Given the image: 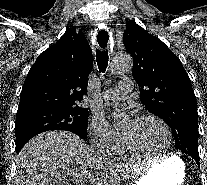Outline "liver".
Here are the masks:
<instances>
[{"instance_id":"1","label":"liver","mask_w":207,"mask_h":185,"mask_svg":"<svg viewBox=\"0 0 207 185\" xmlns=\"http://www.w3.org/2000/svg\"><path fill=\"white\" fill-rule=\"evenodd\" d=\"M85 141L68 131H46L30 139L16 161L17 185H70L96 161Z\"/></svg>"}]
</instances>
